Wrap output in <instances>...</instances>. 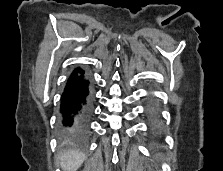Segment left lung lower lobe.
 Returning a JSON list of instances; mask_svg holds the SVG:
<instances>
[{
  "label": "left lung lower lobe",
  "mask_w": 223,
  "mask_h": 171,
  "mask_svg": "<svg viewBox=\"0 0 223 171\" xmlns=\"http://www.w3.org/2000/svg\"><path fill=\"white\" fill-rule=\"evenodd\" d=\"M147 117L152 133L158 136L161 132V120L156 107L151 103L147 106Z\"/></svg>",
  "instance_id": "left-lung-lower-lobe-1"
}]
</instances>
